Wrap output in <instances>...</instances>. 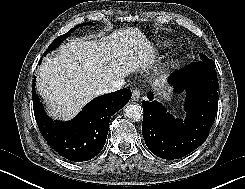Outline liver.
<instances>
[{
	"label": "liver",
	"mask_w": 245,
	"mask_h": 189,
	"mask_svg": "<svg viewBox=\"0 0 245 189\" xmlns=\"http://www.w3.org/2000/svg\"><path fill=\"white\" fill-rule=\"evenodd\" d=\"M155 56L152 43L136 27L95 40L76 38L45 58L38 68L37 89L51 116L69 120L114 81L152 67Z\"/></svg>",
	"instance_id": "liver-1"
}]
</instances>
